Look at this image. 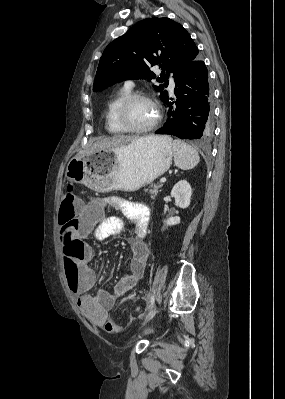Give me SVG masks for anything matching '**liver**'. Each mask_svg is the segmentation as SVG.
<instances>
[{"instance_id":"1","label":"liver","mask_w":285,"mask_h":399,"mask_svg":"<svg viewBox=\"0 0 285 399\" xmlns=\"http://www.w3.org/2000/svg\"><path fill=\"white\" fill-rule=\"evenodd\" d=\"M154 137V136H149ZM140 138L125 136V135H115L112 137L101 138L93 143L90 147L82 152V154H88L96 150H105V151H116L120 147L128 145L134 140Z\"/></svg>"}]
</instances>
